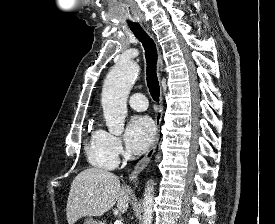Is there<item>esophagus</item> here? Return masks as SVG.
<instances>
[{"label":"esophagus","mask_w":275,"mask_h":224,"mask_svg":"<svg viewBox=\"0 0 275 224\" xmlns=\"http://www.w3.org/2000/svg\"><path fill=\"white\" fill-rule=\"evenodd\" d=\"M157 71H158V76H162V71H163V59L161 56V53L159 52L158 55V64H157ZM160 103H162V96L160 98ZM162 115H163V110L162 108L159 110L157 117H156V127H157V134L154 139V142L152 143L149 151L147 154L139 161V163L136 165L135 169L130 175V180L135 182L137 180L138 175L146 168L147 164L149 163L151 157L153 156L155 149L157 147L158 141H159V130H160V124L162 120Z\"/></svg>","instance_id":"obj_1"}]
</instances>
